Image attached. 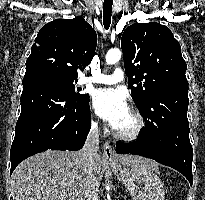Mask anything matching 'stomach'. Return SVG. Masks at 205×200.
I'll list each match as a JSON object with an SVG mask.
<instances>
[{"label":"stomach","instance_id":"stomach-1","mask_svg":"<svg viewBox=\"0 0 205 200\" xmlns=\"http://www.w3.org/2000/svg\"><path fill=\"white\" fill-rule=\"evenodd\" d=\"M133 200H164V183L149 166L111 165Z\"/></svg>","mask_w":205,"mask_h":200}]
</instances>
